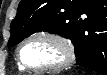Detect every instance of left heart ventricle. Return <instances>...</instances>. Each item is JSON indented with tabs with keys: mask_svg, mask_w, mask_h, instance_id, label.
<instances>
[{
	"mask_svg": "<svg viewBox=\"0 0 107 75\" xmlns=\"http://www.w3.org/2000/svg\"><path fill=\"white\" fill-rule=\"evenodd\" d=\"M22 58L27 64L40 67L60 62L64 58V52L53 41L45 38H36L24 46Z\"/></svg>",
	"mask_w": 107,
	"mask_h": 75,
	"instance_id": "left-heart-ventricle-1",
	"label": "left heart ventricle"
}]
</instances>
